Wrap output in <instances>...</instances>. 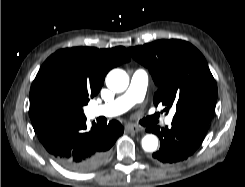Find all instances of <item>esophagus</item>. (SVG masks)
I'll return each instance as SVG.
<instances>
[{"mask_svg": "<svg viewBox=\"0 0 245 187\" xmlns=\"http://www.w3.org/2000/svg\"><path fill=\"white\" fill-rule=\"evenodd\" d=\"M125 129L127 132H134V133H137V132H140L142 131L143 129L137 125H134V124H128L125 126Z\"/></svg>", "mask_w": 245, "mask_h": 187, "instance_id": "obj_1", "label": "esophagus"}]
</instances>
